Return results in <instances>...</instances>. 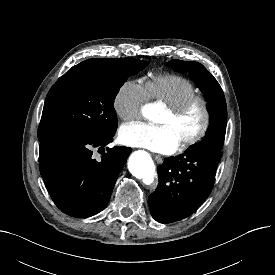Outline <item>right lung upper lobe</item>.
Wrapping results in <instances>:
<instances>
[{
    "mask_svg": "<svg viewBox=\"0 0 275 275\" xmlns=\"http://www.w3.org/2000/svg\"><path fill=\"white\" fill-rule=\"evenodd\" d=\"M100 60H103V61H104V60H108V59H103V58H101Z\"/></svg>",
    "mask_w": 275,
    "mask_h": 275,
    "instance_id": "right-lung-upper-lobe-1",
    "label": "right lung upper lobe"
}]
</instances>
